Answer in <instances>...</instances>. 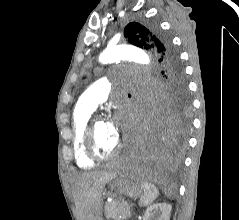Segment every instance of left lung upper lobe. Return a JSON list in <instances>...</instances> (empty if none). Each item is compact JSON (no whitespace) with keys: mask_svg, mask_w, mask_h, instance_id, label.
Masks as SVG:
<instances>
[{"mask_svg":"<svg viewBox=\"0 0 239 220\" xmlns=\"http://www.w3.org/2000/svg\"><path fill=\"white\" fill-rule=\"evenodd\" d=\"M124 32L131 44L151 51L162 64L167 85L161 95V106L166 108L175 126L185 130L189 124L190 101L182 66L169 39L155 24L145 27L132 22L125 27Z\"/></svg>","mask_w":239,"mask_h":220,"instance_id":"left-lung-upper-lobe-1","label":"left lung upper lobe"}]
</instances>
